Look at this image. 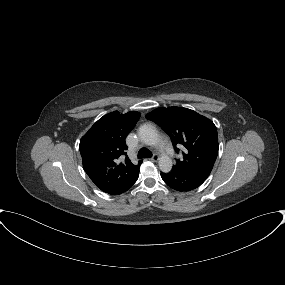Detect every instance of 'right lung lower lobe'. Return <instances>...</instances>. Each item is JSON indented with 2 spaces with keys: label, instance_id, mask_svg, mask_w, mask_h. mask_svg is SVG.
Wrapping results in <instances>:
<instances>
[{
  "label": "right lung lower lobe",
  "instance_id": "obj_1",
  "mask_svg": "<svg viewBox=\"0 0 285 285\" xmlns=\"http://www.w3.org/2000/svg\"><path fill=\"white\" fill-rule=\"evenodd\" d=\"M137 179H138V178H137ZM137 179H136V180H137ZM136 180H135L134 182H132L130 185H128L127 187H125L124 189H122V190H120V191H117V192H115V193H112V194H113V195H114V194H121V193L127 191V190L136 182Z\"/></svg>",
  "mask_w": 285,
  "mask_h": 285
}]
</instances>
